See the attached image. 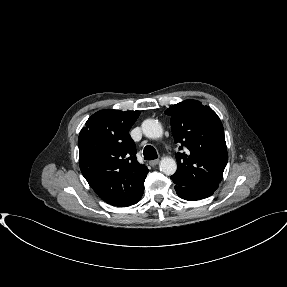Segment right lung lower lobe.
<instances>
[{"mask_svg":"<svg viewBox=\"0 0 287 287\" xmlns=\"http://www.w3.org/2000/svg\"><path fill=\"white\" fill-rule=\"evenodd\" d=\"M143 192H144V190H143ZM143 192L138 196V198H137V200L135 201V203H137L140 199H141V197H142V195H143ZM134 203V204H135ZM133 205V204H132Z\"/></svg>","mask_w":287,"mask_h":287,"instance_id":"1","label":"right lung lower lobe"}]
</instances>
